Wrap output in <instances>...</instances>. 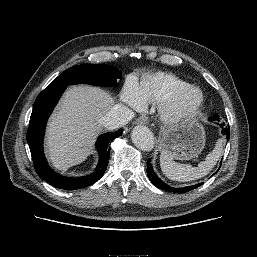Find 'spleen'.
<instances>
[{"label": "spleen", "instance_id": "obj_1", "mask_svg": "<svg viewBox=\"0 0 257 257\" xmlns=\"http://www.w3.org/2000/svg\"><path fill=\"white\" fill-rule=\"evenodd\" d=\"M222 151L223 140L219 139L213 151L206 156L205 161H201L198 167H193L189 164H180L173 161L170 153L163 150L160 156V166L163 174L171 180L180 182L192 181L207 175L216 165L222 155Z\"/></svg>", "mask_w": 257, "mask_h": 257}]
</instances>
